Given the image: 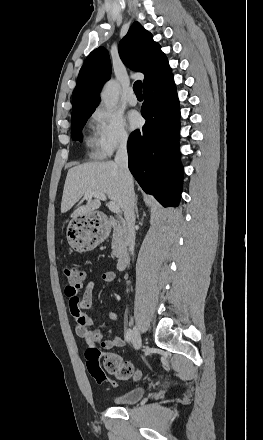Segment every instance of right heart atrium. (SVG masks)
<instances>
[{"label":"right heart atrium","mask_w":263,"mask_h":440,"mask_svg":"<svg viewBox=\"0 0 263 440\" xmlns=\"http://www.w3.org/2000/svg\"><path fill=\"white\" fill-rule=\"evenodd\" d=\"M96 146L101 154L110 155L118 148L128 145L129 133L120 114L103 107L93 113Z\"/></svg>","instance_id":"right-heart-atrium-1"}]
</instances>
